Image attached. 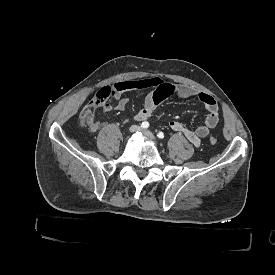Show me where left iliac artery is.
I'll return each instance as SVG.
<instances>
[{"label": "left iliac artery", "instance_id": "44dca946", "mask_svg": "<svg viewBox=\"0 0 275 275\" xmlns=\"http://www.w3.org/2000/svg\"><path fill=\"white\" fill-rule=\"evenodd\" d=\"M157 137L160 138V139H163L164 138V133L163 132H158Z\"/></svg>", "mask_w": 275, "mask_h": 275}]
</instances>
